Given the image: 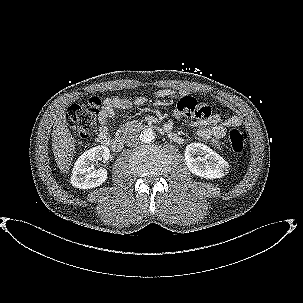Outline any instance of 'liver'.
<instances>
[{
  "label": "liver",
  "mask_w": 303,
  "mask_h": 303,
  "mask_svg": "<svg viewBox=\"0 0 303 303\" xmlns=\"http://www.w3.org/2000/svg\"><path fill=\"white\" fill-rule=\"evenodd\" d=\"M52 150L58 168L68 173L75 151V140L72 137L65 118V107H60L52 132Z\"/></svg>",
  "instance_id": "obj_1"
}]
</instances>
